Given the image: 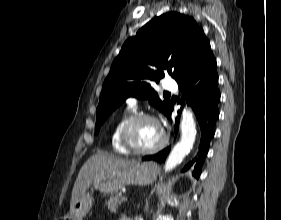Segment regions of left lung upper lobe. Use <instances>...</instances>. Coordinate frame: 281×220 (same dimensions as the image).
I'll return each mask as SVG.
<instances>
[{
    "mask_svg": "<svg viewBox=\"0 0 281 220\" xmlns=\"http://www.w3.org/2000/svg\"><path fill=\"white\" fill-rule=\"evenodd\" d=\"M210 47L204 31L189 16L168 12L154 17L122 46L104 81L96 110L95 132L128 97L148 99L166 116L168 99L161 101L152 88L166 74L178 81L194 57Z\"/></svg>",
    "mask_w": 281,
    "mask_h": 220,
    "instance_id": "5c2ea615",
    "label": "left lung upper lobe"
}]
</instances>
